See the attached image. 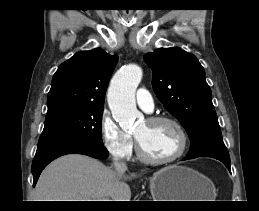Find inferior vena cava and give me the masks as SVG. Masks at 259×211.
Instances as JSON below:
<instances>
[{
	"mask_svg": "<svg viewBox=\"0 0 259 211\" xmlns=\"http://www.w3.org/2000/svg\"><path fill=\"white\" fill-rule=\"evenodd\" d=\"M113 165L115 170L119 173V174H124L127 170V164L126 162L120 160L119 158H114L113 159Z\"/></svg>",
	"mask_w": 259,
	"mask_h": 211,
	"instance_id": "obj_1",
	"label": "inferior vena cava"
}]
</instances>
